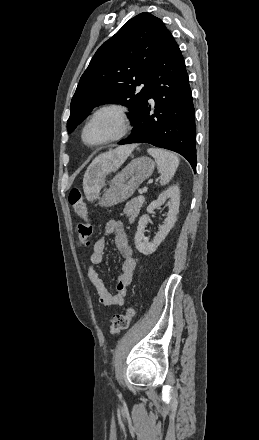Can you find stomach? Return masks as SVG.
<instances>
[{
    "label": "stomach",
    "mask_w": 259,
    "mask_h": 440,
    "mask_svg": "<svg viewBox=\"0 0 259 440\" xmlns=\"http://www.w3.org/2000/svg\"><path fill=\"white\" fill-rule=\"evenodd\" d=\"M155 162L149 157L133 159L111 181L110 187L100 199V205L114 206L130 198L139 185L154 171Z\"/></svg>",
    "instance_id": "stomach-1"
}]
</instances>
